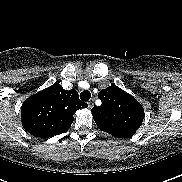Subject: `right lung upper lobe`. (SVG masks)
I'll list each match as a JSON object with an SVG mask.
<instances>
[{
  "label": "right lung upper lobe",
  "mask_w": 182,
  "mask_h": 182,
  "mask_svg": "<svg viewBox=\"0 0 182 182\" xmlns=\"http://www.w3.org/2000/svg\"><path fill=\"white\" fill-rule=\"evenodd\" d=\"M88 107L74 89L64 90L59 83L30 96L21 107V122L33 136L48 138L70 128L76 110Z\"/></svg>",
  "instance_id": "1"
}]
</instances>
